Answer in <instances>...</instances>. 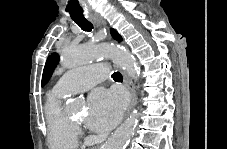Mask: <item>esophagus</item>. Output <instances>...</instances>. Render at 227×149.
Listing matches in <instances>:
<instances>
[{"label":"esophagus","instance_id":"esophagus-1","mask_svg":"<svg viewBox=\"0 0 227 149\" xmlns=\"http://www.w3.org/2000/svg\"><path fill=\"white\" fill-rule=\"evenodd\" d=\"M97 21H98V24H99L100 27H106L107 26L106 21L103 18H98ZM121 73H122L123 78H124V84L127 87V89L129 90L130 95H131V100H130V105L128 107V110L125 111L124 114H122V119H128V117H129L128 115H129L130 111L132 110V108L134 107V105L136 103V95H135L134 86H133L130 78L122 70H121Z\"/></svg>","mask_w":227,"mask_h":149}]
</instances>
